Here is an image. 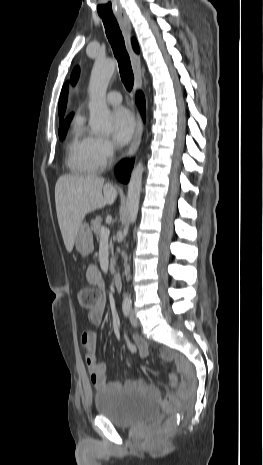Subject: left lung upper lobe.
Masks as SVG:
<instances>
[{
	"instance_id": "1",
	"label": "left lung upper lobe",
	"mask_w": 263,
	"mask_h": 465,
	"mask_svg": "<svg viewBox=\"0 0 263 465\" xmlns=\"http://www.w3.org/2000/svg\"><path fill=\"white\" fill-rule=\"evenodd\" d=\"M78 77H79V67H75L73 72H72V75H71V79H72L73 84L76 83Z\"/></svg>"
}]
</instances>
